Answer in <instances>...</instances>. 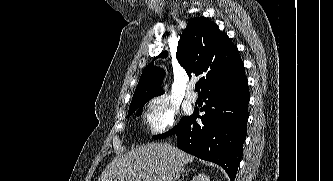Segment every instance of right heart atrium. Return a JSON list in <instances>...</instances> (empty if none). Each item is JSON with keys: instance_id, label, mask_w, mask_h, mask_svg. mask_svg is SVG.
Instances as JSON below:
<instances>
[{"instance_id": "d8ad5b80", "label": "right heart atrium", "mask_w": 333, "mask_h": 181, "mask_svg": "<svg viewBox=\"0 0 333 181\" xmlns=\"http://www.w3.org/2000/svg\"><path fill=\"white\" fill-rule=\"evenodd\" d=\"M177 107L166 96L153 98L147 105L145 122L154 135L169 130L175 122Z\"/></svg>"}]
</instances>
